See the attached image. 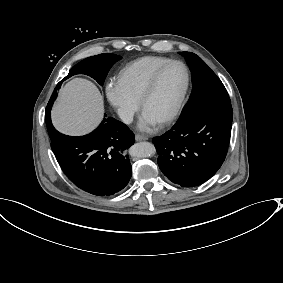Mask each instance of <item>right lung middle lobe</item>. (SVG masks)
Listing matches in <instances>:
<instances>
[{"mask_svg": "<svg viewBox=\"0 0 283 283\" xmlns=\"http://www.w3.org/2000/svg\"><path fill=\"white\" fill-rule=\"evenodd\" d=\"M120 59L121 56L111 53H103L88 57L73 66L70 69L69 74L63 80H66L75 74H86L94 78L100 85H103L108 71L113 64Z\"/></svg>", "mask_w": 283, "mask_h": 283, "instance_id": "1", "label": "right lung middle lobe"}]
</instances>
